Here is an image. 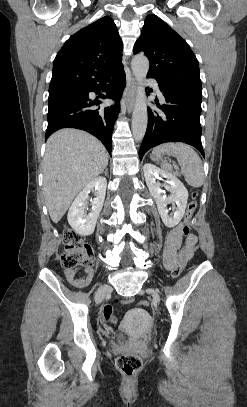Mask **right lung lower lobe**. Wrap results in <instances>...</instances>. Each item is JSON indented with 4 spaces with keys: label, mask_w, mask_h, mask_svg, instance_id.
Here are the masks:
<instances>
[{
    "label": "right lung lower lobe",
    "mask_w": 247,
    "mask_h": 407,
    "mask_svg": "<svg viewBox=\"0 0 247 407\" xmlns=\"http://www.w3.org/2000/svg\"><path fill=\"white\" fill-rule=\"evenodd\" d=\"M125 84L126 76L122 66L94 78L84 86L83 94L49 102L45 140L61 128H77L97 137L111 154L113 126L120 111L119 102ZM101 90L106 92V96L102 95V98L115 100V105L101 110L90 109L93 103L89 100L88 93H100ZM98 104L100 102H97Z\"/></svg>",
    "instance_id": "1"
}]
</instances>
